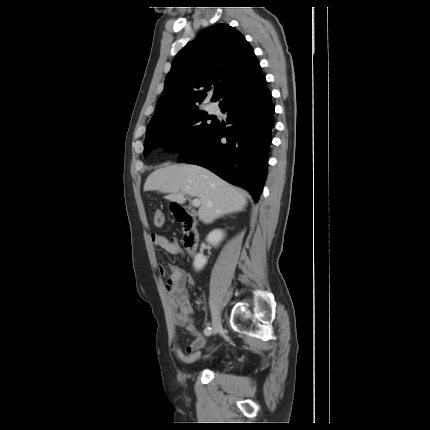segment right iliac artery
Returning <instances> with one entry per match:
<instances>
[{
  "label": "right iliac artery",
  "mask_w": 430,
  "mask_h": 430,
  "mask_svg": "<svg viewBox=\"0 0 430 430\" xmlns=\"http://www.w3.org/2000/svg\"><path fill=\"white\" fill-rule=\"evenodd\" d=\"M211 333H212V328H211V327H207V328L204 330V334H205V335H207V336L211 335Z\"/></svg>",
  "instance_id": "obj_1"
}]
</instances>
